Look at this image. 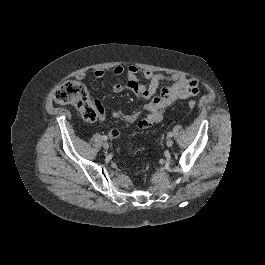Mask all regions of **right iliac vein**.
Here are the masks:
<instances>
[{"label": "right iliac vein", "mask_w": 265, "mask_h": 265, "mask_svg": "<svg viewBox=\"0 0 265 265\" xmlns=\"http://www.w3.org/2000/svg\"><path fill=\"white\" fill-rule=\"evenodd\" d=\"M103 148H104L105 150L109 149V143H108V142H104V143H103Z\"/></svg>", "instance_id": "1"}]
</instances>
